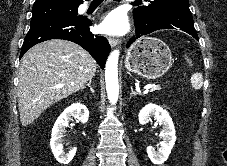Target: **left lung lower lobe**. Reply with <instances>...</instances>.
<instances>
[{
    "label": "left lung lower lobe",
    "mask_w": 227,
    "mask_h": 166,
    "mask_svg": "<svg viewBox=\"0 0 227 166\" xmlns=\"http://www.w3.org/2000/svg\"><path fill=\"white\" fill-rule=\"evenodd\" d=\"M134 23L136 35L130 39L126 47H129L135 39L161 29H179L199 40L189 7L161 10L150 20L140 21L134 18Z\"/></svg>",
    "instance_id": "left-lung-lower-lobe-1"
}]
</instances>
